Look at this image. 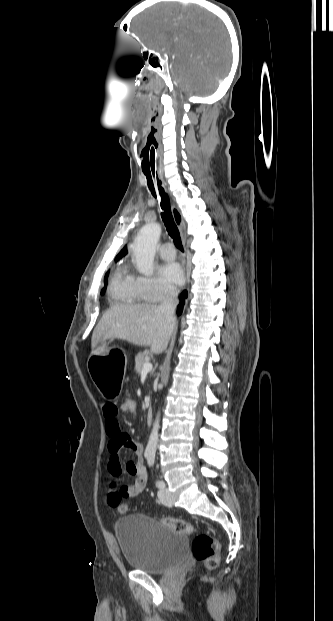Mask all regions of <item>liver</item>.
Here are the masks:
<instances>
[{"label":"liver","mask_w":333,"mask_h":621,"mask_svg":"<svg viewBox=\"0 0 333 621\" xmlns=\"http://www.w3.org/2000/svg\"><path fill=\"white\" fill-rule=\"evenodd\" d=\"M160 306L117 305L103 314L93 331L92 349L110 339H122L137 346H150L155 354L164 352L174 331Z\"/></svg>","instance_id":"obj_1"}]
</instances>
